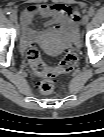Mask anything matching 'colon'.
<instances>
[{
  "mask_svg": "<svg viewBox=\"0 0 104 137\" xmlns=\"http://www.w3.org/2000/svg\"><path fill=\"white\" fill-rule=\"evenodd\" d=\"M26 57L31 70L44 78L39 83V91L42 94H50L54 88V79L60 74L72 71L77 65L78 50L73 46L56 66L47 65L34 45L26 50Z\"/></svg>",
  "mask_w": 104,
  "mask_h": 137,
  "instance_id": "5ec220e1",
  "label": "colon"
}]
</instances>
